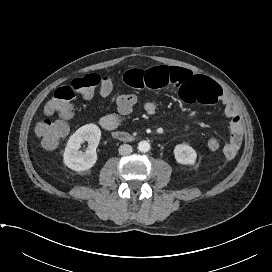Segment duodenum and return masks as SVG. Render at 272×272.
I'll use <instances>...</instances> for the list:
<instances>
[{"label":"duodenum","mask_w":272,"mask_h":272,"mask_svg":"<svg viewBox=\"0 0 272 272\" xmlns=\"http://www.w3.org/2000/svg\"><path fill=\"white\" fill-rule=\"evenodd\" d=\"M113 137L121 141H132L133 137L126 132H114Z\"/></svg>","instance_id":"410a0bca"}]
</instances>
